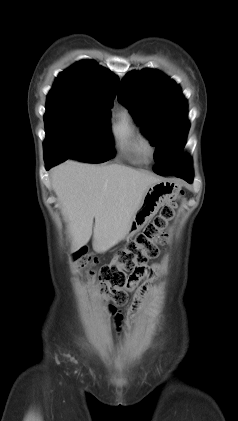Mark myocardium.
I'll return each instance as SVG.
<instances>
[{
  "label": "myocardium",
  "instance_id": "1",
  "mask_svg": "<svg viewBox=\"0 0 238 421\" xmlns=\"http://www.w3.org/2000/svg\"><path fill=\"white\" fill-rule=\"evenodd\" d=\"M144 150L146 153L151 154L154 151V147L148 140H144Z\"/></svg>",
  "mask_w": 238,
  "mask_h": 421
}]
</instances>
